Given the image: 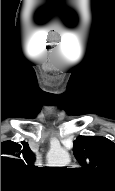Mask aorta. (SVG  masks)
<instances>
[{
  "mask_svg": "<svg viewBox=\"0 0 115 191\" xmlns=\"http://www.w3.org/2000/svg\"><path fill=\"white\" fill-rule=\"evenodd\" d=\"M48 159L54 166H66L70 163V155L63 149L51 151L48 155Z\"/></svg>",
  "mask_w": 115,
  "mask_h": 191,
  "instance_id": "762f6f07",
  "label": "aorta"
}]
</instances>
